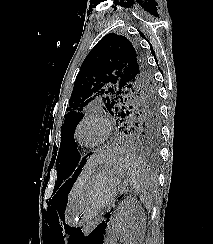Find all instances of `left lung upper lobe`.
Masks as SVG:
<instances>
[{
  "label": "left lung upper lobe",
  "instance_id": "obj_1",
  "mask_svg": "<svg viewBox=\"0 0 213 244\" xmlns=\"http://www.w3.org/2000/svg\"><path fill=\"white\" fill-rule=\"evenodd\" d=\"M96 99L121 124H129L145 136L159 132L158 96L149 67L126 37L109 33L89 52L76 77L69 112L61 127L57 181L62 182L71 174L79 156L75 128L84 116L83 108Z\"/></svg>",
  "mask_w": 213,
  "mask_h": 244
}]
</instances>
